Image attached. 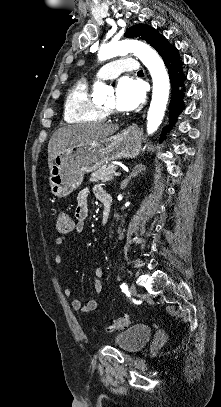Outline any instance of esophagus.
I'll return each instance as SVG.
<instances>
[{"mask_svg": "<svg viewBox=\"0 0 221 407\" xmlns=\"http://www.w3.org/2000/svg\"><path fill=\"white\" fill-rule=\"evenodd\" d=\"M133 130H134V131H138L139 128L136 126V127H133Z\"/></svg>", "mask_w": 221, "mask_h": 407, "instance_id": "esophagus-1", "label": "esophagus"}]
</instances>
